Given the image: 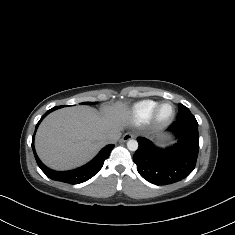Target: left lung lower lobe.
Returning a JSON list of instances; mask_svg holds the SVG:
<instances>
[{"mask_svg": "<svg viewBox=\"0 0 235 235\" xmlns=\"http://www.w3.org/2000/svg\"><path fill=\"white\" fill-rule=\"evenodd\" d=\"M168 130L176 136V144L161 149L150 140L138 137L139 147L133 155L139 174L157 185L171 184L187 177L194 170L198 157L197 122L175 121Z\"/></svg>", "mask_w": 235, "mask_h": 235, "instance_id": "1", "label": "left lung lower lobe"}]
</instances>
